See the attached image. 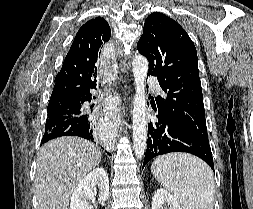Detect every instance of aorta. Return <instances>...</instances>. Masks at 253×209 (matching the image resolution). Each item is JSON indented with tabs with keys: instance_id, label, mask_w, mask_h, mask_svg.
<instances>
[{
	"instance_id": "1",
	"label": "aorta",
	"mask_w": 253,
	"mask_h": 209,
	"mask_svg": "<svg viewBox=\"0 0 253 209\" xmlns=\"http://www.w3.org/2000/svg\"><path fill=\"white\" fill-rule=\"evenodd\" d=\"M132 72L135 77V97L133 106V149L137 159H142L147 147L146 121V77L148 61L144 56H136L132 61Z\"/></svg>"
}]
</instances>
